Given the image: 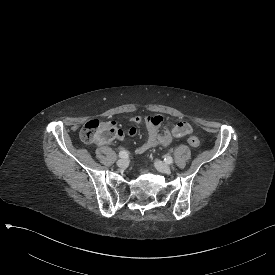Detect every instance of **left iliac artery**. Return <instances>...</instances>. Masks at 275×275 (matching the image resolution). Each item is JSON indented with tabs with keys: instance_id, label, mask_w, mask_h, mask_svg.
<instances>
[{
	"instance_id": "44dca946",
	"label": "left iliac artery",
	"mask_w": 275,
	"mask_h": 275,
	"mask_svg": "<svg viewBox=\"0 0 275 275\" xmlns=\"http://www.w3.org/2000/svg\"><path fill=\"white\" fill-rule=\"evenodd\" d=\"M164 160L167 164L173 163V158L171 156H166Z\"/></svg>"
}]
</instances>
